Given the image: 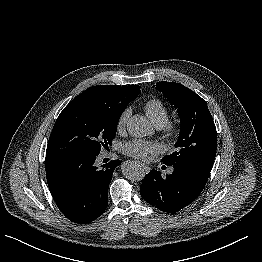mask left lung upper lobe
Returning a JSON list of instances; mask_svg holds the SVG:
<instances>
[{
    "mask_svg": "<svg viewBox=\"0 0 262 262\" xmlns=\"http://www.w3.org/2000/svg\"><path fill=\"white\" fill-rule=\"evenodd\" d=\"M156 89L177 108L181 121L177 150L161 162L173 167H195L210 170L213 167L217 132L204 99L180 83L158 82Z\"/></svg>",
    "mask_w": 262,
    "mask_h": 262,
    "instance_id": "obj_1",
    "label": "left lung upper lobe"
}]
</instances>
